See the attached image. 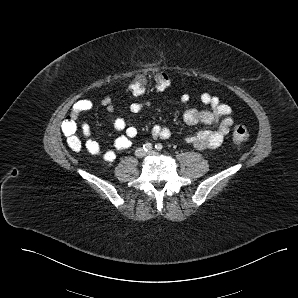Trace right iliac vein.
Returning <instances> with one entry per match:
<instances>
[{"mask_svg": "<svg viewBox=\"0 0 298 298\" xmlns=\"http://www.w3.org/2000/svg\"><path fill=\"white\" fill-rule=\"evenodd\" d=\"M135 154L138 157H144L146 153L142 148H139V149L136 150Z\"/></svg>", "mask_w": 298, "mask_h": 298, "instance_id": "right-iliac-vein-1", "label": "right iliac vein"}]
</instances>
